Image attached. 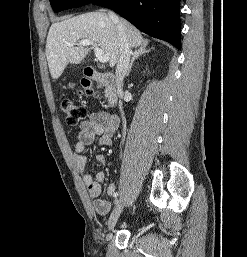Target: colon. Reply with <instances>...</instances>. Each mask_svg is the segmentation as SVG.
<instances>
[{
	"label": "colon",
	"mask_w": 247,
	"mask_h": 257,
	"mask_svg": "<svg viewBox=\"0 0 247 257\" xmlns=\"http://www.w3.org/2000/svg\"><path fill=\"white\" fill-rule=\"evenodd\" d=\"M77 93L83 96H93L95 94V89L88 80H84L82 81L81 88L77 91ZM61 107L64 113L65 121L69 126H81V124L88 117L87 109L83 105L78 104L73 100H62Z\"/></svg>",
	"instance_id": "1"
}]
</instances>
